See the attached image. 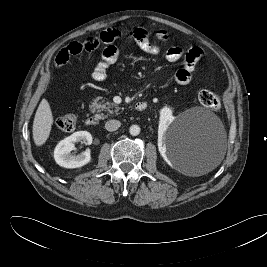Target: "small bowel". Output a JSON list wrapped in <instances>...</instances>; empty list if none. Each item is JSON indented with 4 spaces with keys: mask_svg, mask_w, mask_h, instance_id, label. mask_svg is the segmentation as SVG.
Segmentation results:
<instances>
[{
    "mask_svg": "<svg viewBox=\"0 0 267 267\" xmlns=\"http://www.w3.org/2000/svg\"><path fill=\"white\" fill-rule=\"evenodd\" d=\"M147 32L140 28L133 32L134 38L144 52L149 54H157L159 48L152 45L146 36ZM121 36V31L118 29H106L97 36H91L84 41H74L64 47L56 55L55 62L57 66L65 65L70 57L78 55L84 51L92 52L101 44H105L102 52L101 60L94 66L92 78L95 81H104L112 64L116 63L120 58V51L113 45V42ZM202 56L201 49L194 47L187 51H183L179 47L170 48L167 51L166 58L169 62H177L183 60V67L175 73V80L180 85H186L190 82L192 74L195 71L197 62Z\"/></svg>",
    "mask_w": 267,
    "mask_h": 267,
    "instance_id": "small-bowel-1",
    "label": "small bowel"
}]
</instances>
